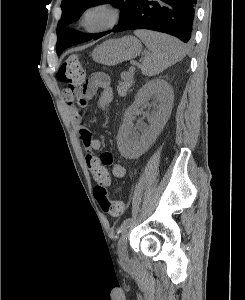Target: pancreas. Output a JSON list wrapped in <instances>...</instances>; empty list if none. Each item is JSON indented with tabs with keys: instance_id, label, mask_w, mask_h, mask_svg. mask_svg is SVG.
I'll return each instance as SVG.
<instances>
[{
	"instance_id": "pancreas-1",
	"label": "pancreas",
	"mask_w": 245,
	"mask_h": 300,
	"mask_svg": "<svg viewBox=\"0 0 245 300\" xmlns=\"http://www.w3.org/2000/svg\"><path fill=\"white\" fill-rule=\"evenodd\" d=\"M133 76L134 73L132 70L121 73V80L119 81V85L117 87V91L120 96L124 97L127 95L129 88L133 84Z\"/></svg>"
}]
</instances>
